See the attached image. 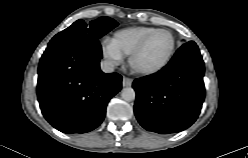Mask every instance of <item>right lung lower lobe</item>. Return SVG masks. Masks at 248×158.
<instances>
[{"instance_id": "98d812e1", "label": "right lung lower lobe", "mask_w": 248, "mask_h": 158, "mask_svg": "<svg viewBox=\"0 0 248 158\" xmlns=\"http://www.w3.org/2000/svg\"><path fill=\"white\" fill-rule=\"evenodd\" d=\"M98 39L53 37L38 68L37 97L46 120L63 133L98 127L109 100L121 90L118 73L100 70Z\"/></svg>"}]
</instances>
